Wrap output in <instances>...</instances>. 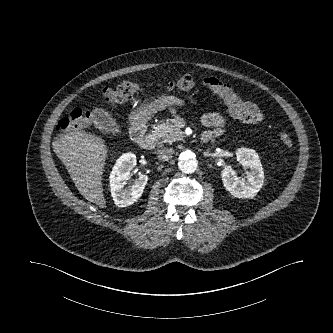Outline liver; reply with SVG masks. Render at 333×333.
Returning a JSON list of instances; mask_svg holds the SVG:
<instances>
[{"label":"liver","instance_id":"liver-1","mask_svg":"<svg viewBox=\"0 0 333 333\" xmlns=\"http://www.w3.org/2000/svg\"><path fill=\"white\" fill-rule=\"evenodd\" d=\"M81 128L69 126L67 132L54 143V148L80 194L100 208H105L101 175L107 146L100 136Z\"/></svg>","mask_w":333,"mask_h":333}]
</instances>
